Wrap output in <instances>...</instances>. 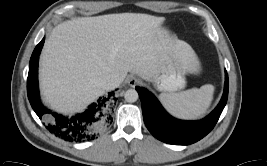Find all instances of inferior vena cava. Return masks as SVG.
I'll list each match as a JSON object with an SVG mask.
<instances>
[{"instance_id":"inferior-vena-cava-1","label":"inferior vena cava","mask_w":267,"mask_h":166,"mask_svg":"<svg viewBox=\"0 0 267 166\" xmlns=\"http://www.w3.org/2000/svg\"><path fill=\"white\" fill-rule=\"evenodd\" d=\"M121 81L118 77L114 75L107 76L103 81V86L107 90H111L120 85Z\"/></svg>"}]
</instances>
